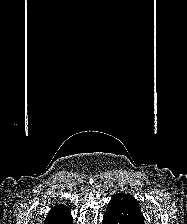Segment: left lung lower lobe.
<instances>
[{"label": "left lung lower lobe", "instance_id": "obj_1", "mask_svg": "<svg viewBox=\"0 0 187 224\" xmlns=\"http://www.w3.org/2000/svg\"><path fill=\"white\" fill-rule=\"evenodd\" d=\"M103 224H144L137 200L129 194L116 193L108 203Z\"/></svg>", "mask_w": 187, "mask_h": 224}]
</instances>
